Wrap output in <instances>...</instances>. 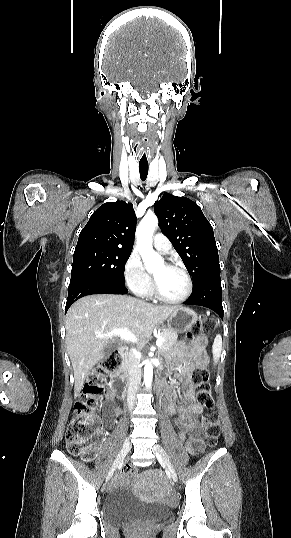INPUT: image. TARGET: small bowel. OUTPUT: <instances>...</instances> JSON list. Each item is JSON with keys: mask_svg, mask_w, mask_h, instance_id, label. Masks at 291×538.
<instances>
[{"mask_svg": "<svg viewBox=\"0 0 291 538\" xmlns=\"http://www.w3.org/2000/svg\"><path fill=\"white\" fill-rule=\"evenodd\" d=\"M200 339L195 350L183 352L176 360V370L182 383V404L177 403L176 392L169 386H165V396L168 401L167 412L170 415L178 414L176 424L179 427V439L184 443L186 451L195 456L204 448L205 434L200 426L197 416L202 412V406L195 402L196 389L190 381L194 367V358L202 347ZM112 382L107 387L105 422L108 426L113 423V418L121 413L116 403V394L112 391Z\"/></svg>", "mask_w": 291, "mask_h": 538, "instance_id": "1", "label": "small bowel"}]
</instances>
